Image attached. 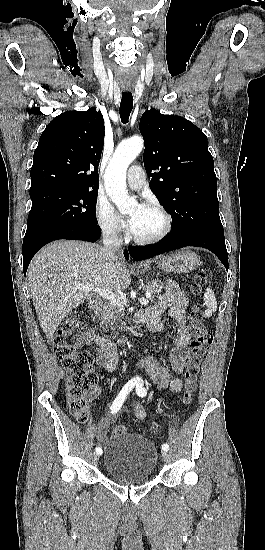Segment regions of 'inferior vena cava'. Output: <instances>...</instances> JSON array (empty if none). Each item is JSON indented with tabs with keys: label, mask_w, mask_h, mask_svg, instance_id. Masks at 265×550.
Masks as SVG:
<instances>
[{
	"label": "inferior vena cava",
	"mask_w": 265,
	"mask_h": 550,
	"mask_svg": "<svg viewBox=\"0 0 265 550\" xmlns=\"http://www.w3.org/2000/svg\"><path fill=\"white\" fill-rule=\"evenodd\" d=\"M104 252L110 261L117 258L116 253L120 252L122 238L117 235V231L113 227H105L102 230Z\"/></svg>",
	"instance_id": "inferior-vena-cava-1"
}]
</instances>
